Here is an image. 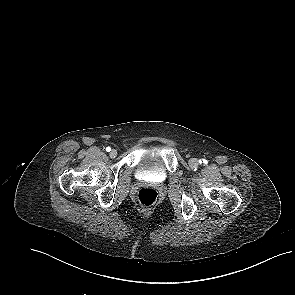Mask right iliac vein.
Segmentation results:
<instances>
[{
  "mask_svg": "<svg viewBox=\"0 0 295 295\" xmlns=\"http://www.w3.org/2000/svg\"><path fill=\"white\" fill-rule=\"evenodd\" d=\"M110 157L111 158H115L116 156H117V150H115V149H112L111 151H110Z\"/></svg>",
  "mask_w": 295,
  "mask_h": 295,
  "instance_id": "1",
  "label": "right iliac vein"
}]
</instances>
